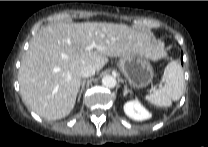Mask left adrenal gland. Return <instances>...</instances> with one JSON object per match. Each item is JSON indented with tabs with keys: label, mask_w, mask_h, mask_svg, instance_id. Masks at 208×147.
<instances>
[{
	"label": "left adrenal gland",
	"mask_w": 208,
	"mask_h": 147,
	"mask_svg": "<svg viewBox=\"0 0 208 147\" xmlns=\"http://www.w3.org/2000/svg\"><path fill=\"white\" fill-rule=\"evenodd\" d=\"M128 93L131 94L132 92H131V90H129V89L127 88V85L125 84V85H124V92H123V95H124V96H127Z\"/></svg>",
	"instance_id": "a2214340"
}]
</instances>
